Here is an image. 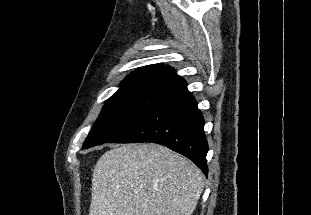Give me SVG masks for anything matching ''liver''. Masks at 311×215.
Wrapping results in <instances>:
<instances>
[{
	"instance_id": "liver-1",
	"label": "liver",
	"mask_w": 311,
	"mask_h": 215,
	"mask_svg": "<svg viewBox=\"0 0 311 215\" xmlns=\"http://www.w3.org/2000/svg\"><path fill=\"white\" fill-rule=\"evenodd\" d=\"M89 215H192L202 172L158 144L114 146L97 161Z\"/></svg>"
}]
</instances>
